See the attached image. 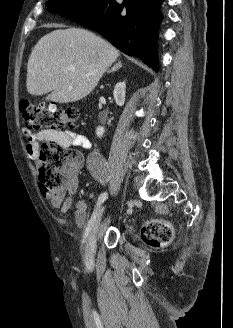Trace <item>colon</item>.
Here are the masks:
<instances>
[{"label":"colon","instance_id":"1","mask_svg":"<svg viewBox=\"0 0 233 328\" xmlns=\"http://www.w3.org/2000/svg\"><path fill=\"white\" fill-rule=\"evenodd\" d=\"M20 110L30 130L73 127L80 117L77 109L63 110L53 104H34L26 99L21 101ZM80 160L81 155L77 150L63 148L52 140L44 141L40 145L36 161L41 188L54 191L65 186L75 178ZM141 236L146 244L161 247L170 242L172 230L163 222L150 221L142 228Z\"/></svg>","mask_w":233,"mask_h":328}]
</instances>
